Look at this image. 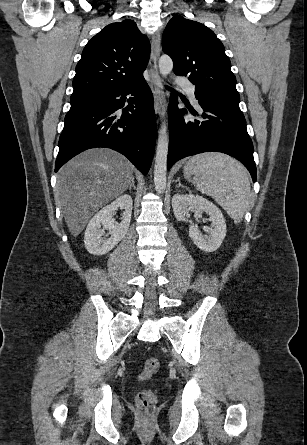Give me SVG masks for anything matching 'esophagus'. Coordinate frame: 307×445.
Returning a JSON list of instances; mask_svg holds the SVG:
<instances>
[{"label":"esophagus","instance_id":"obj_1","mask_svg":"<svg viewBox=\"0 0 307 445\" xmlns=\"http://www.w3.org/2000/svg\"><path fill=\"white\" fill-rule=\"evenodd\" d=\"M161 51V36L160 32L156 31L152 38V69L150 71V86L154 96V108L155 112L159 115L162 114V101L164 92L162 90L161 82L157 75V60Z\"/></svg>","mask_w":307,"mask_h":445}]
</instances>
